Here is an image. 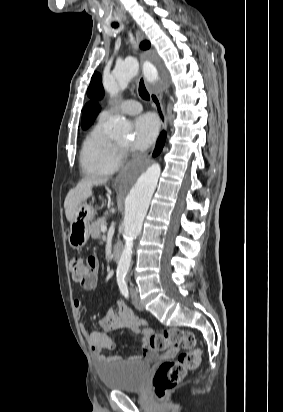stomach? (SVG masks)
Returning a JSON list of instances; mask_svg holds the SVG:
<instances>
[{
	"instance_id": "0dacf381",
	"label": "stomach",
	"mask_w": 283,
	"mask_h": 412,
	"mask_svg": "<svg viewBox=\"0 0 283 412\" xmlns=\"http://www.w3.org/2000/svg\"><path fill=\"white\" fill-rule=\"evenodd\" d=\"M94 215V208L86 202L81 203L76 209L74 219L70 224L68 241L75 249L82 248L90 235V222Z\"/></svg>"
}]
</instances>
